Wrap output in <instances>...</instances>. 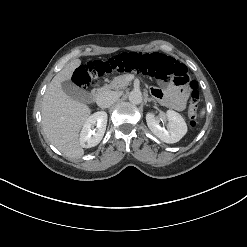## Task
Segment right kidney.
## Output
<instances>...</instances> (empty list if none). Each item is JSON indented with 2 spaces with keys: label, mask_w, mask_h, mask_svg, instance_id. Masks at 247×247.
Instances as JSON below:
<instances>
[{
  "label": "right kidney",
  "mask_w": 247,
  "mask_h": 247,
  "mask_svg": "<svg viewBox=\"0 0 247 247\" xmlns=\"http://www.w3.org/2000/svg\"><path fill=\"white\" fill-rule=\"evenodd\" d=\"M96 129H93L94 126ZM107 125V113L96 112L89 116L80 133V146L83 148H91L100 143L102 140Z\"/></svg>",
  "instance_id": "ca27d5eb"
}]
</instances>
